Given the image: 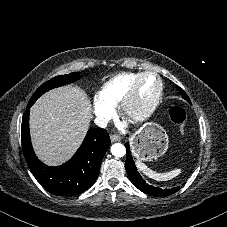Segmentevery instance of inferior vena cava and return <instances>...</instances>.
<instances>
[{"label":"inferior vena cava","instance_id":"inferior-vena-cava-1","mask_svg":"<svg viewBox=\"0 0 227 227\" xmlns=\"http://www.w3.org/2000/svg\"><path fill=\"white\" fill-rule=\"evenodd\" d=\"M94 122L98 127L105 128L109 122V119L104 116H97Z\"/></svg>","mask_w":227,"mask_h":227}]
</instances>
